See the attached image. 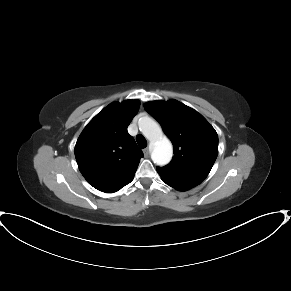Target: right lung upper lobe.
<instances>
[{
	"label": "right lung upper lobe",
	"instance_id": "cb5924a9",
	"mask_svg": "<svg viewBox=\"0 0 291 291\" xmlns=\"http://www.w3.org/2000/svg\"><path fill=\"white\" fill-rule=\"evenodd\" d=\"M139 107L138 100L109 104L77 140L74 152L79 170L89 184L102 192H116L133 180L143 153L127 127Z\"/></svg>",
	"mask_w": 291,
	"mask_h": 291
}]
</instances>
